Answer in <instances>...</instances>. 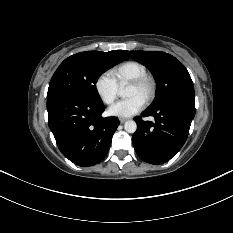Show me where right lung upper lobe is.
<instances>
[{"label": "right lung upper lobe", "mask_w": 233, "mask_h": 233, "mask_svg": "<svg viewBox=\"0 0 233 233\" xmlns=\"http://www.w3.org/2000/svg\"><path fill=\"white\" fill-rule=\"evenodd\" d=\"M125 55H126V51H125ZM127 59H128V56L126 55Z\"/></svg>", "instance_id": "right-lung-upper-lobe-1"}]
</instances>
